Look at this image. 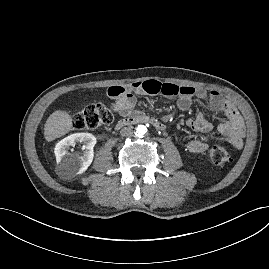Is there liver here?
<instances>
[{"instance_id": "1", "label": "liver", "mask_w": 269, "mask_h": 269, "mask_svg": "<svg viewBox=\"0 0 269 269\" xmlns=\"http://www.w3.org/2000/svg\"><path fill=\"white\" fill-rule=\"evenodd\" d=\"M72 130V117L62 110L54 111L44 125L46 141H53Z\"/></svg>"}]
</instances>
